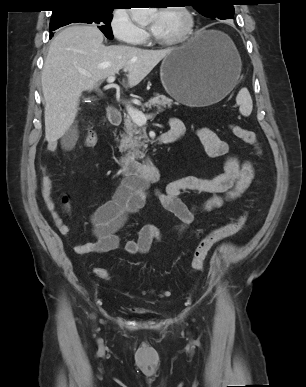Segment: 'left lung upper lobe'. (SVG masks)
I'll list each match as a JSON object with an SVG mask.
<instances>
[{
    "label": "left lung upper lobe",
    "instance_id": "left-lung-upper-lobe-1",
    "mask_svg": "<svg viewBox=\"0 0 306 387\" xmlns=\"http://www.w3.org/2000/svg\"><path fill=\"white\" fill-rule=\"evenodd\" d=\"M233 0H190L192 6L205 17L211 19H232Z\"/></svg>",
    "mask_w": 306,
    "mask_h": 387
}]
</instances>
